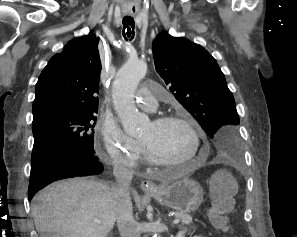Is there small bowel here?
Returning a JSON list of instances; mask_svg holds the SVG:
<instances>
[{
    "mask_svg": "<svg viewBox=\"0 0 297 237\" xmlns=\"http://www.w3.org/2000/svg\"><path fill=\"white\" fill-rule=\"evenodd\" d=\"M194 237H204L203 235H196V236H194Z\"/></svg>",
    "mask_w": 297,
    "mask_h": 237,
    "instance_id": "c3829d8e",
    "label": "small bowel"
}]
</instances>
